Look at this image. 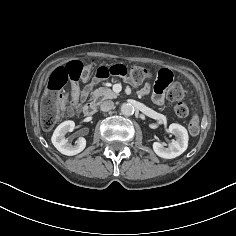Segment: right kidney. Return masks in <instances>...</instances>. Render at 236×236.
Returning a JSON list of instances; mask_svg holds the SVG:
<instances>
[{"label":"right kidney","mask_w":236,"mask_h":236,"mask_svg":"<svg viewBox=\"0 0 236 236\" xmlns=\"http://www.w3.org/2000/svg\"><path fill=\"white\" fill-rule=\"evenodd\" d=\"M75 128L74 121L68 120L61 123L54 131L51 141L56 149L64 155L73 156L86 147V140L84 138H79L74 145L68 142L65 135L68 132H72Z\"/></svg>","instance_id":"right-kidney-1"}]
</instances>
